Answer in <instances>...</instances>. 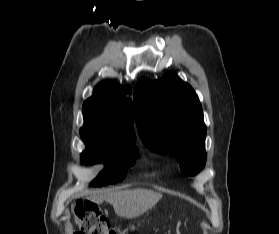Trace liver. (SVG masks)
Listing matches in <instances>:
<instances>
[{"label":"liver","mask_w":279,"mask_h":234,"mask_svg":"<svg viewBox=\"0 0 279 234\" xmlns=\"http://www.w3.org/2000/svg\"><path fill=\"white\" fill-rule=\"evenodd\" d=\"M161 198L162 195L154 191L133 189L100 193L92 196L90 199L95 203L106 201L113 206L116 215L132 219L143 215Z\"/></svg>","instance_id":"1"}]
</instances>
